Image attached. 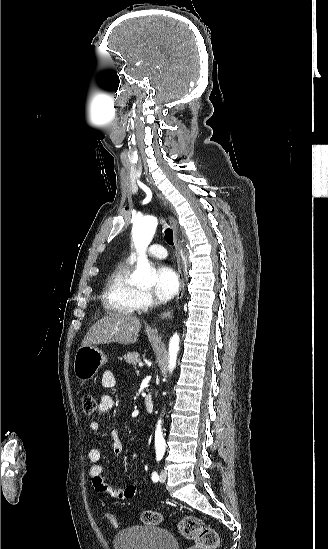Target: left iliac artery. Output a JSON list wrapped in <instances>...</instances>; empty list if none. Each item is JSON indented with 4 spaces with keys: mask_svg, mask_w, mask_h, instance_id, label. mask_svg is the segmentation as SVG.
Masks as SVG:
<instances>
[{
    "mask_svg": "<svg viewBox=\"0 0 328 549\" xmlns=\"http://www.w3.org/2000/svg\"><path fill=\"white\" fill-rule=\"evenodd\" d=\"M156 459H157V461H160V460L162 459V457L159 456V455H157V458H156ZM152 480H153L154 482H157V481L159 480V476H158V474H157L156 472H153V473H152Z\"/></svg>",
    "mask_w": 328,
    "mask_h": 549,
    "instance_id": "left-iliac-artery-1",
    "label": "left iliac artery"
}]
</instances>
